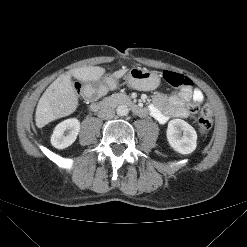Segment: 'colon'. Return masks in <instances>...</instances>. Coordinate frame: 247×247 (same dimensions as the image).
Returning <instances> with one entry per match:
<instances>
[{
    "label": "colon",
    "instance_id": "5ec220e1",
    "mask_svg": "<svg viewBox=\"0 0 247 247\" xmlns=\"http://www.w3.org/2000/svg\"><path fill=\"white\" fill-rule=\"evenodd\" d=\"M163 79L166 83H168L170 86L174 88H191L193 85V82L190 78L187 76H184L182 74L165 70L163 72ZM199 107L197 104H191L189 106L190 112H196L198 111ZM213 125V111L212 108L209 105L203 106L200 114V118L198 120V128L200 134L207 133Z\"/></svg>",
    "mask_w": 247,
    "mask_h": 247
}]
</instances>
